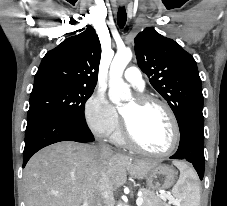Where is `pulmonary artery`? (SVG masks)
Returning a JSON list of instances; mask_svg holds the SVG:
<instances>
[{"instance_id": "e3ab8cb5", "label": "pulmonary artery", "mask_w": 227, "mask_h": 206, "mask_svg": "<svg viewBox=\"0 0 227 206\" xmlns=\"http://www.w3.org/2000/svg\"><path fill=\"white\" fill-rule=\"evenodd\" d=\"M124 79L135 89L142 91L144 89V81L140 70L137 67L131 66L124 72Z\"/></svg>"}]
</instances>
